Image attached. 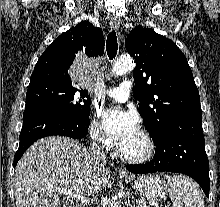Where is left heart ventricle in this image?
Here are the masks:
<instances>
[{"label": "left heart ventricle", "mask_w": 220, "mask_h": 207, "mask_svg": "<svg viewBox=\"0 0 220 207\" xmlns=\"http://www.w3.org/2000/svg\"><path fill=\"white\" fill-rule=\"evenodd\" d=\"M118 147L122 154L130 157L142 156L147 151V143L138 131L119 144Z\"/></svg>", "instance_id": "obj_1"}]
</instances>
